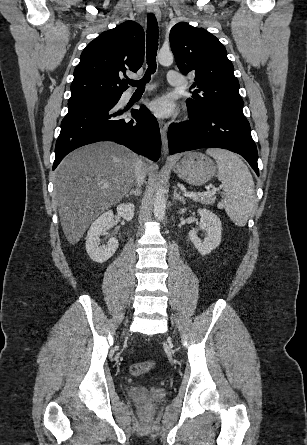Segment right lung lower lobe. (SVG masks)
<instances>
[{"label":"right lung lower lobe","mask_w":307,"mask_h":445,"mask_svg":"<svg viewBox=\"0 0 307 445\" xmlns=\"http://www.w3.org/2000/svg\"><path fill=\"white\" fill-rule=\"evenodd\" d=\"M119 99L105 98L68 105L56 142L53 169L72 150L98 141H115L153 161L160 156L161 138L156 118L144 107L133 119L119 118Z\"/></svg>","instance_id":"right-lung-lower-lobe-1"}]
</instances>
